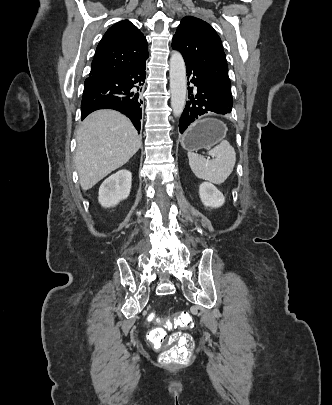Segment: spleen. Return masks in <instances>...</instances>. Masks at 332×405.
<instances>
[{
    "instance_id": "obj_1",
    "label": "spleen",
    "mask_w": 332,
    "mask_h": 405,
    "mask_svg": "<svg viewBox=\"0 0 332 405\" xmlns=\"http://www.w3.org/2000/svg\"><path fill=\"white\" fill-rule=\"evenodd\" d=\"M208 154L213 157L208 160L194 153H188L189 165L192 172L199 179L213 184H222L230 176L236 162L234 148L227 140L211 149Z\"/></svg>"
}]
</instances>
